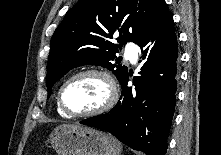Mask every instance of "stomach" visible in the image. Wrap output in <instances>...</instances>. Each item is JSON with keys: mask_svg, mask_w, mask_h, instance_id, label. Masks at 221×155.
I'll return each mask as SVG.
<instances>
[{"mask_svg": "<svg viewBox=\"0 0 221 155\" xmlns=\"http://www.w3.org/2000/svg\"><path fill=\"white\" fill-rule=\"evenodd\" d=\"M50 142L58 155H120L122 146L103 131L79 125L57 126Z\"/></svg>", "mask_w": 221, "mask_h": 155, "instance_id": "obj_1", "label": "stomach"}]
</instances>
